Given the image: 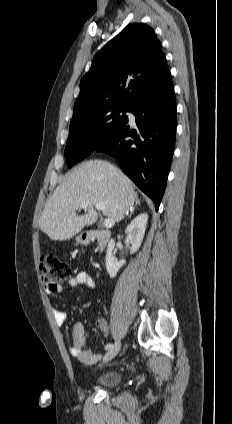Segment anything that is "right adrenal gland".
Listing matches in <instances>:
<instances>
[{"instance_id": "1", "label": "right adrenal gland", "mask_w": 232, "mask_h": 424, "mask_svg": "<svg viewBox=\"0 0 232 424\" xmlns=\"http://www.w3.org/2000/svg\"><path fill=\"white\" fill-rule=\"evenodd\" d=\"M136 205H140V201H139V199L136 197ZM135 209V208H134ZM134 209L132 210V212H131V214H130V216L129 217H131L132 216V214H133V212H134Z\"/></svg>"}]
</instances>
